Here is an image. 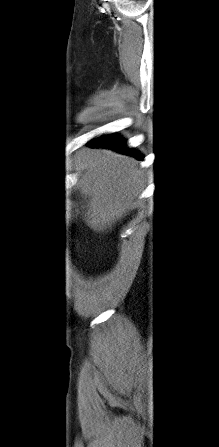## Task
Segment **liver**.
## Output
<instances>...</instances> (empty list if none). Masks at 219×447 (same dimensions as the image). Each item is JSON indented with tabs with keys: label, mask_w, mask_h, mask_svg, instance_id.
I'll list each match as a JSON object with an SVG mask.
<instances>
[{
	"label": "liver",
	"mask_w": 219,
	"mask_h": 447,
	"mask_svg": "<svg viewBox=\"0 0 219 447\" xmlns=\"http://www.w3.org/2000/svg\"><path fill=\"white\" fill-rule=\"evenodd\" d=\"M77 186L89 196L85 222L105 232L135 204L145 187L146 171L134 158L108 149H83L76 161Z\"/></svg>",
	"instance_id": "6515ba94"
}]
</instances>
